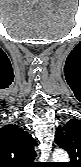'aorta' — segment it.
<instances>
[{"instance_id": "762f6f07", "label": "aorta", "mask_w": 81, "mask_h": 167, "mask_svg": "<svg viewBox=\"0 0 81 167\" xmlns=\"http://www.w3.org/2000/svg\"><path fill=\"white\" fill-rule=\"evenodd\" d=\"M53 160L56 162H68L69 161V156L68 154L61 149L55 150L53 152Z\"/></svg>"}]
</instances>
